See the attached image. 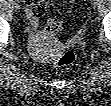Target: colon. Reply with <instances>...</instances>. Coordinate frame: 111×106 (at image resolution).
Listing matches in <instances>:
<instances>
[{"label":"colon","mask_w":111,"mask_h":106,"mask_svg":"<svg viewBox=\"0 0 111 106\" xmlns=\"http://www.w3.org/2000/svg\"><path fill=\"white\" fill-rule=\"evenodd\" d=\"M64 26V20L52 18L49 19L45 26V31L48 34L58 33ZM75 62V54L70 50L62 51L57 58V65L60 67H70Z\"/></svg>","instance_id":"5ec220e1"}]
</instances>
